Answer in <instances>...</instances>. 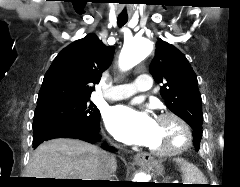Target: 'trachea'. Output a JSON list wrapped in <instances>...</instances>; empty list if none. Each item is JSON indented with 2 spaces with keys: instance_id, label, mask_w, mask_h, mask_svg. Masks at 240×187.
<instances>
[{
  "instance_id": "1",
  "label": "trachea",
  "mask_w": 240,
  "mask_h": 187,
  "mask_svg": "<svg viewBox=\"0 0 240 187\" xmlns=\"http://www.w3.org/2000/svg\"><path fill=\"white\" fill-rule=\"evenodd\" d=\"M128 21V17H118L117 22L120 27L124 26Z\"/></svg>"
}]
</instances>
